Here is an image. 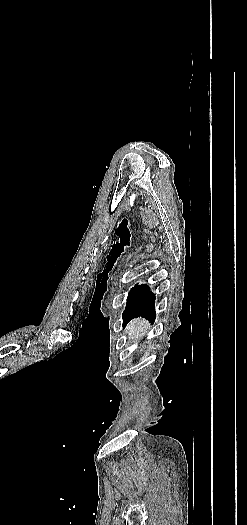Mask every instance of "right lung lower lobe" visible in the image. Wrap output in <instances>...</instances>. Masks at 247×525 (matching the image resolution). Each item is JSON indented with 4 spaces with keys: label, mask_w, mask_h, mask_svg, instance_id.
<instances>
[{
    "label": "right lung lower lobe",
    "mask_w": 247,
    "mask_h": 525,
    "mask_svg": "<svg viewBox=\"0 0 247 525\" xmlns=\"http://www.w3.org/2000/svg\"><path fill=\"white\" fill-rule=\"evenodd\" d=\"M155 295L146 284L140 285L128 298L126 308L123 312V326L131 319L139 316L155 320Z\"/></svg>",
    "instance_id": "98d812e1"
}]
</instances>
